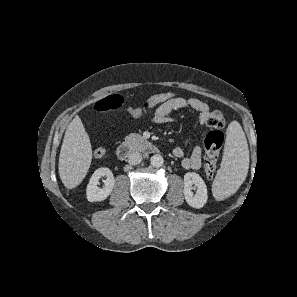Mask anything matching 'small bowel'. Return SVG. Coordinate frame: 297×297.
<instances>
[{"label": "small bowel", "instance_id": "small-bowel-1", "mask_svg": "<svg viewBox=\"0 0 297 297\" xmlns=\"http://www.w3.org/2000/svg\"><path fill=\"white\" fill-rule=\"evenodd\" d=\"M191 108L199 113V121L201 124H206L210 115L209 105L203 100L196 97H173L151 109V117L155 123H166L173 119L172 112ZM129 112L134 117H139L148 110H141L140 107H129ZM173 155L181 159V164L185 169L198 170L202 162V149L196 146L189 155H185L180 147L173 150Z\"/></svg>", "mask_w": 297, "mask_h": 297}]
</instances>
